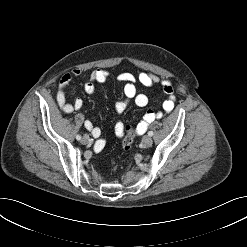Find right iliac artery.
<instances>
[{
	"label": "right iliac artery",
	"instance_id": "obj_1",
	"mask_svg": "<svg viewBox=\"0 0 247 247\" xmlns=\"http://www.w3.org/2000/svg\"><path fill=\"white\" fill-rule=\"evenodd\" d=\"M76 139H77V140H81V136H80V135H77V136H76Z\"/></svg>",
	"mask_w": 247,
	"mask_h": 247
}]
</instances>
